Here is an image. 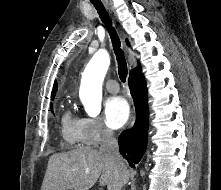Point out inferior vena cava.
Here are the masks:
<instances>
[{"instance_id": "obj_1", "label": "inferior vena cava", "mask_w": 221, "mask_h": 190, "mask_svg": "<svg viewBox=\"0 0 221 190\" xmlns=\"http://www.w3.org/2000/svg\"><path fill=\"white\" fill-rule=\"evenodd\" d=\"M100 152L115 163L119 169L123 170L126 167V163L119 153L118 142L113 132L107 128L103 129L101 133ZM122 187L123 185L119 189L121 190Z\"/></svg>"}]
</instances>
